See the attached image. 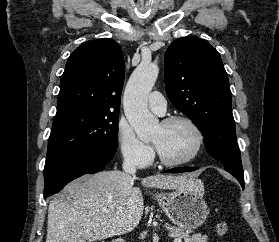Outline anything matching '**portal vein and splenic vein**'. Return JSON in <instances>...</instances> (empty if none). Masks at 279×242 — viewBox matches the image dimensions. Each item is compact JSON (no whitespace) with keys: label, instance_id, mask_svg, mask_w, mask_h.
Returning a JSON list of instances; mask_svg holds the SVG:
<instances>
[{"label":"portal vein and splenic vein","instance_id":"portal-vein-and-splenic-vein-1","mask_svg":"<svg viewBox=\"0 0 279 242\" xmlns=\"http://www.w3.org/2000/svg\"><path fill=\"white\" fill-rule=\"evenodd\" d=\"M174 242H181V239H175Z\"/></svg>","mask_w":279,"mask_h":242}]
</instances>
